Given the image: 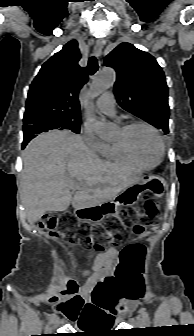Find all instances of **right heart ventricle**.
Returning <instances> with one entry per match:
<instances>
[{
	"label": "right heart ventricle",
	"instance_id": "e07e8e85",
	"mask_svg": "<svg viewBox=\"0 0 194 336\" xmlns=\"http://www.w3.org/2000/svg\"><path fill=\"white\" fill-rule=\"evenodd\" d=\"M99 154L105 160L114 162L119 165H124L130 168H133L137 171H142L145 168L141 164L133 160L119 145L118 142L104 143L102 149L99 151Z\"/></svg>",
	"mask_w": 194,
	"mask_h": 336
}]
</instances>
